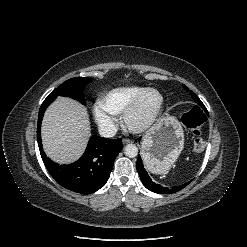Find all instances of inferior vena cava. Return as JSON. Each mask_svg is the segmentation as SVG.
Masks as SVG:
<instances>
[{"instance_id":"602c4592","label":"inferior vena cava","mask_w":247,"mask_h":247,"mask_svg":"<svg viewBox=\"0 0 247 247\" xmlns=\"http://www.w3.org/2000/svg\"><path fill=\"white\" fill-rule=\"evenodd\" d=\"M116 132H117V127L112 123L102 124L99 126V133L102 137L105 138L113 137L116 134Z\"/></svg>"}]
</instances>
